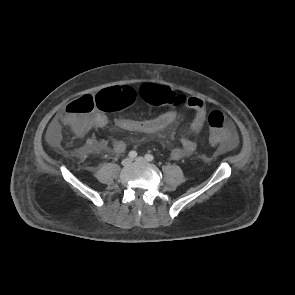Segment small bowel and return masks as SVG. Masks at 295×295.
Listing matches in <instances>:
<instances>
[{"label":"small bowel","instance_id":"small-bowel-1","mask_svg":"<svg viewBox=\"0 0 295 295\" xmlns=\"http://www.w3.org/2000/svg\"><path fill=\"white\" fill-rule=\"evenodd\" d=\"M186 107L194 112L193 119L190 123L187 133L181 139V146L175 147L170 152V157L173 160H180L186 158L194 153L197 148V142L194 139L202 130L206 120V106L203 100L197 97H188L185 101ZM178 117L176 110H169L151 120H131L127 118H117L115 125L124 131L142 133L147 135H159L168 126H170ZM108 125V118L104 113L94 112L87 116L79 127L74 131L77 135L83 137L92 128H105ZM47 141L53 147H58L61 140V129L58 119L51 122L47 130ZM234 139L230 146L235 145ZM109 147L101 140L95 137H89L85 145L87 153H97L108 150ZM114 153L119 154L125 151L126 144L121 140H114L111 148Z\"/></svg>","mask_w":295,"mask_h":295}]
</instances>
